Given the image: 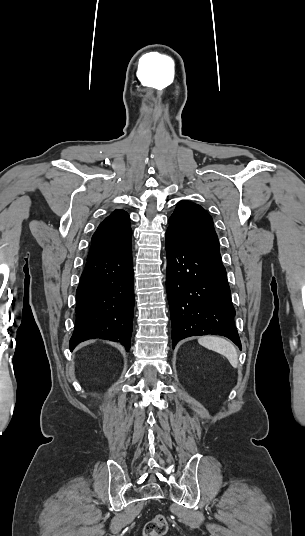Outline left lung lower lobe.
<instances>
[{
    "mask_svg": "<svg viewBox=\"0 0 305 536\" xmlns=\"http://www.w3.org/2000/svg\"><path fill=\"white\" fill-rule=\"evenodd\" d=\"M166 253L173 348L186 337L218 334L241 349L220 253L188 246L169 234H166Z\"/></svg>",
    "mask_w": 305,
    "mask_h": 536,
    "instance_id": "left-lung-lower-lobe-1",
    "label": "left lung lower lobe"
}]
</instances>
